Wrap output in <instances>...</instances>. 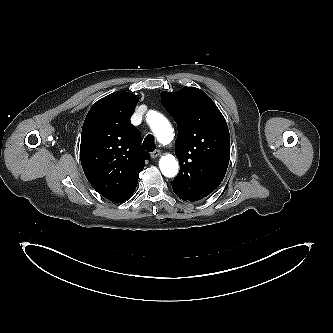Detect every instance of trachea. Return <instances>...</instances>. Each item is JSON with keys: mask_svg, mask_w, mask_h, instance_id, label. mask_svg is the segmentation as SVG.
<instances>
[{"mask_svg": "<svg viewBox=\"0 0 333 333\" xmlns=\"http://www.w3.org/2000/svg\"><path fill=\"white\" fill-rule=\"evenodd\" d=\"M143 148L148 151L152 152L155 150V143H154V137L152 135H147L143 141Z\"/></svg>", "mask_w": 333, "mask_h": 333, "instance_id": "1", "label": "trachea"}]
</instances>
